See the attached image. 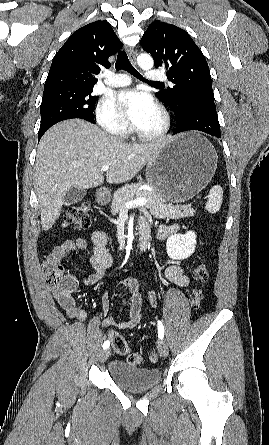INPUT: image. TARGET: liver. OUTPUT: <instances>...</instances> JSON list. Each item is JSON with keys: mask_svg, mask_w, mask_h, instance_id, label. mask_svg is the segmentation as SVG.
<instances>
[{"mask_svg": "<svg viewBox=\"0 0 269 445\" xmlns=\"http://www.w3.org/2000/svg\"><path fill=\"white\" fill-rule=\"evenodd\" d=\"M167 140L126 143L80 119L66 120L50 128L38 145L34 174L42 229L47 231L55 224L70 188L102 185L104 165L110 166L108 183L127 182Z\"/></svg>", "mask_w": 269, "mask_h": 445, "instance_id": "liver-1", "label": "liver"}]
</instances>
